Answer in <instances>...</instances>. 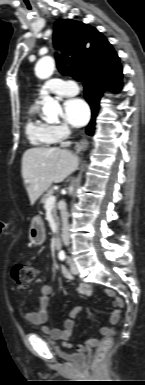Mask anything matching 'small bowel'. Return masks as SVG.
<instances>
[{
  "label": "small bowel",
  "instance_id": "c3829d8e",
  "mask_svg": "<svg viewBox=\"0 0 145 385\" xmlns=\"http://www.w3.org/2000/svg\"><path fill=\"white\" fill-rule=\"evenodd\" d=\"M60 272L62 276L69 280L72 281L74 280L73 275L70 273V271L64 267H60ZM40 273L39 270H36V275ZM77 292L82 295V296H90L92 294V286L87 283L80 284L77 287ZM104 292L112 298L113 304L115 305L116 309L113 310L110 314L109 317V323L110 324H116L120 318V310L123 306V301L122 299L116 294V292L113 289L106 288L104 289ZM52 293V288L48 285H44L41 289V297L39 299V307L38 310L36 311H29L25 313V318L26 320L33 324L41 327V331L55 339V340H60L63 344L64 347H70L73 348L76 352L82 353L85 350L96 346L99 343L98 339H89L87 340L83 345L77 344V345H72L68 343V339L70 338L75 325H76V316L84 311V308L82 306H78L74 308L70 313L68 319L64 322V328L62 330L60 329H51L47 327L46 321L48 319V306H49V301H50V295ZM110 332L109 326H103L100 329L101 335L107 336Z\"/></svg>",
  "mask_w": 145,
  "mask_h": 385
}]
</instances>
